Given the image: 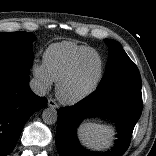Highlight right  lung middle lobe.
Here are the masks:
<instances>
[{"label":"right lung middle lobe","mask_w":156,"mask_h":156,"mask_svg":"<svg viewBox=\"0 0 156 156\" xmlns=\"http://www.w3.org/2000/svg\"><path fill=\"white\" fill-rule=\"evenodd\" d=\"M36 39L29 32L0 33V63L30 69L32 67V42Z\"/></svg>","instance_id":"obj_1"}]
</instances>
